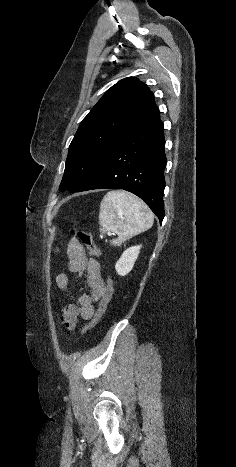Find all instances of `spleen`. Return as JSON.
Here are the masks:
<instances>
[{
	"label": "spleen",
	"mask_w": 236,
	"mask_h": 467,
	"mask_svg": "<svg viewBox=\"0 0 236 467\" xmlns=\"http://www.w3.org/2000/svg\"><path fill=\"white\" fill-rule=\"evenodd\" d=\"M154 216L149 207L136 196L124 191L108 192L100 204L101 231L118 235L111 243L120 246L133 236L152 227Z\"/></svg>",
	"instance_id": "obj_1"
}]
</instances>
